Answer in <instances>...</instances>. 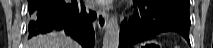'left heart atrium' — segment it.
<instances>
[{"instance_id":"1","label":"left heart atrium","mask_w":213,"mask_h":48,"mask_svg":"<svg viewBox=\"0 0 213 48\" xmlns=\"http://www.w3.org/2000/svg\"><path fill=\"white\" fill-rule=\"evenodd\" d=\"M113 1L112 0H100L96 1V4L99 5L100 7H103L105 9H109L112 5Z\"/></svg>"}]
</instances>
